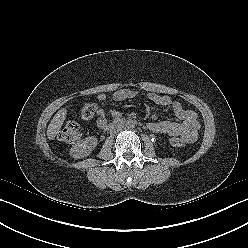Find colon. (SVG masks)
Here are the masks:
<instances>
[{"instance_id":"5ec220e1","label":"colon","mask_w":248,"mask_h":248,"mask_svg":"<svg viewBox=\"0 0 248 248\" xmlns=\"http://www.w3.org/2000/svg\"><path fill=\"white\" fill-rule=\"evenodd\" d=\"M97 112V106L94 103H88L81 108L79 117L82 120H89L94 117ZM81 136L79 124L75 121H69L59 133L60 140L73 143ZM169 143L174 147L184 146L187 142L182 137H171Z\"/></svg>"}]
</instances>
